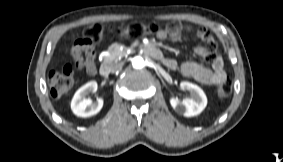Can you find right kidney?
I'll return each mask as SVG.
<instances>
[{
    "instance_id": "right-kidney-1",
    "label": "right kidney",
    "mask_w": 283,
    "mask_h": 162,
    "mask_svg": "<svg viewBox=\"0 0 283 162\" xmlns=\"http://www.w3.org/2000/svg\"><path fill=\"white\" fill-rule=\"evenodd\" d=\"M98 84L96 81H90L80 87L73 96L71 109L79 117H90L97 114L103 107V99L98 98L96 102L86 98L92 92H96Z\"/></svg>"
}]
</instances>
